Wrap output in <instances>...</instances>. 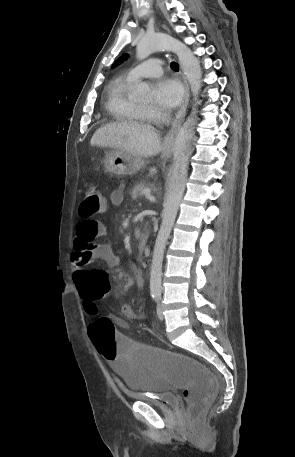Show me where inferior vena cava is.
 <instances>
[{
	"mask_svg": "<svg viewBox=\"0 0 295 457\" xmlns=\"http://www.w3.org/2000/svg\"><path fill=\"white\" fill-rule=\"evenodd\" d=\"M163 117H164L166 123L169 124V122H170V115H169V114H165Z\"/></svg>",
	"mask_w": 295,
	"mask_h": 457,
	"instance_id": "obj_1",
	"label": "inferior vena cava"
}]
</instances>
